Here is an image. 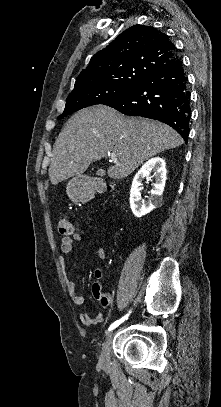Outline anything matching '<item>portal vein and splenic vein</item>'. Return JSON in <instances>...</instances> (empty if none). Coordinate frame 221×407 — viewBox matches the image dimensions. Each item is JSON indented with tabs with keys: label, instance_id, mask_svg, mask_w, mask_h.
<instances>
[{
	"label": "portal vein and splenic vein",
	"instance_id": "obj_1",
	"mask_svg": "<svg viewBox=\"0 0 221 407\" xmlns=\"http://www.w3.org/2000/svg\"><path fill=\"white\" fill-rule=\"evenodd\" d=\"M110 157H111L113 162H115V163L117 162V159H116V156H115L114 153L110 154Z\"/></svg>",
	"mask_w": 221,
	"mask_h": 407
}]
</instances>
